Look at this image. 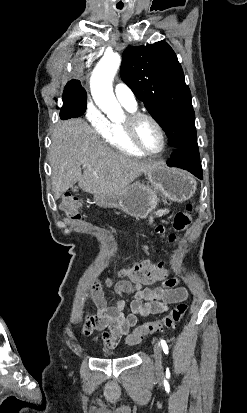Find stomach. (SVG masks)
<instances>
[{"label": "stomach", "instance_id": "stomach-1", "mask_svg": "<svg viewBox=\"0 0 247 413\" xmlns=\"http://www.w3.org/2000/svg\"><path fill=\"white\" fill-rule=\"evenodd\" d=\"M145 174L151 186L134 182L119 192H99L94 194L96 204L108 209H121L131 217L146 219L157 207L158 194L168 200L183 202L191 198L197 188L194 176L181 168L152 164V168H149Z\"/></svg>", "mask_w": 247, "mask_h": 413}]
</instances>
